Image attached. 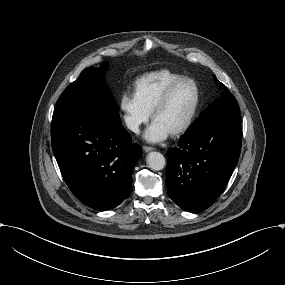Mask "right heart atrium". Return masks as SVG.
<instances>
[{"instance_id":"right-heart-atrium-1","label":"right heart atrium","mask_w":285,"mask_h":285,"mask_svg":"<svg viewBox=\"0 0 285 285\" xmlns=\"http://www.w3.org/2000/svg\"><path fill=\"white\" fill-rule=\"evenodd\" d=\"M119 106L127 126L134 131L139 130L151 116V112L139 99L134 87L128 88L121 95Z\"/></svg>"}]
</instances>
